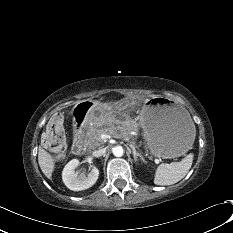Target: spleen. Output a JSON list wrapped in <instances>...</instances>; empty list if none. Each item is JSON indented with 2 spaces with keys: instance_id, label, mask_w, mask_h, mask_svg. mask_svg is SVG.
<instances>
[{
  "instance_id": "1",
  "label": "spleen",
  "mask_w": 233,
  "mask_h": 233,
  "mask_svg": "<svg viewBox=\"0 0 233 233\" xmlns=\"http://www.w3.org/2000/svg\"><path fill=\"white\" fill-rule=\"evenodd\" d=\"M193 162V154L186 155L180 162L163 163L158 166L154 183L156 185H172L186 176Z\"/></svg>"
}]
</instances>
